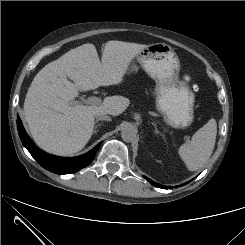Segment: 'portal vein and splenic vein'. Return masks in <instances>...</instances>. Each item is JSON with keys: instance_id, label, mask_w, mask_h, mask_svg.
I'll return each mask as SVG.
<instances>
[{"instance_id": "1", "label": "portal vein and splenic vein", "mask_w": 245, "mask_h": 245, "mask_svg": "<svg viewBox=\"0 0 245 245\" xmlns=\"http://www.w3.org/2000/svg\"><path fill=\"white\" fill-rule=\"evenodd\" d=\"M85 102L90 105H100L102 100L96 96H90L85 100Z\"/></svg>"}]
</instances>
